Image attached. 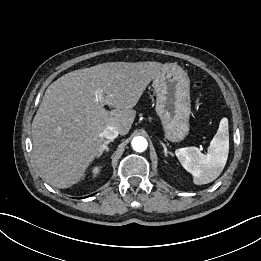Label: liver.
Listing matches in <instances>:
<instances>
[{
    "label": "liver",
    "instance_id": "1",
    "mask_svg": "<svg viewBox=\"0 0 261 261\" xmlns=\"http://www.w3.org/2000/svg\"><path fill=\"white\" fill-rule=\"evenodd\" d=\"M165 67L159 62H107L67 73L45 91L32 122L33 159L44 180L64 189L80 181L114 126L126 135L133 109ZM102 90L104 108L96 97Z\"/></svg>",
    "mask_w": 261,
    "mask_h": 261
}]
</instances>
